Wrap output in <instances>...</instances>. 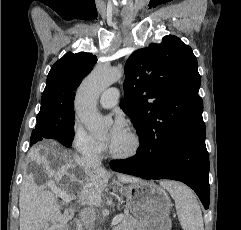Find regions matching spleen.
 <instances>
[{
    "instance_id": "obj_1",
    "label": "spleen",
    "mask_w": 241,
    "mask_h": 230,
    "mask_svg": "<svg viewBox=\"0 0 241 230\" xmlns=\"http://www.w3.org/2000/svg\"><path fill=\"white\" fill-rule=\"evenodd\" d=\"M161 186L174 199L182 228L184 230H204L202 212L193 191L178 182L163 181Z\"/></svg>"
}]
</instances>
